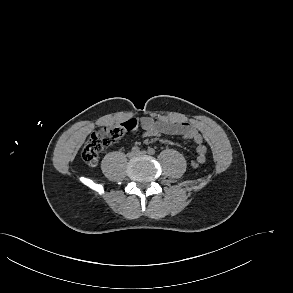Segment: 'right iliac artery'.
<instances>
[{
    "label": "right iliac artery",
    "mask_w": 293,
    "mask_h": 293,
    "mask_svg": "<svg viewBox=\"0 0 293 293\" xmlns=\"http://www.w3.org/2000/svg\"><path fill=\"white\" fill-rule=\"evenodd\" d=\"M139 150H140V148L138 146L132 147V151H134L136 153L139 152Z\"/></svg>",
    "instance_id": "82829eb1"
}]
</instances>
